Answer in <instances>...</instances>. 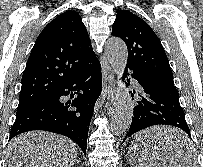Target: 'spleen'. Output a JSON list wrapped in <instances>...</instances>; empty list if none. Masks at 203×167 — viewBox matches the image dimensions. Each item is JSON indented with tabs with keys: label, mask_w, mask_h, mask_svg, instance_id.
<instances>
[{
	"label": "spleen",
	"mask_w": 203,
	"mask_h": 167,
	"mask_svg": "<svg viewBox=\"0 0 203 167\" xmlns=\"http://www.w3.org/2000/svg\"><path fill=\"white\" fill-rule=\"evenodd\" d=\"M184 142L188 144L187 137L184 139ZM152 148L156 150V147L152 146ZM136 150L139 151V155L138 153L135 155ZM129 152H130L129 162L131 164V167H170V165L167 164L163 165L161 161L158 160V157L155 153L151 152L146 148L140 147L134 141L129 148ZM188 157L189 160L185 161L182 165H179V167H197L196 166L197 161L192 151H190Z\"/></svg>",
	"instance_id": "1"
}]
</instances>
